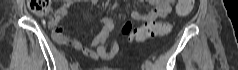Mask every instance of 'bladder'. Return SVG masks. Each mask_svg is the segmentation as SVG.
<instances>
[{
	"label": "bladder",
	"instance_id": "obj_1",
	"mask_svg": "<svg viewBox=\"0 0 238 70\" xmlns=\"http://www.w3.org/2000/svg\"><path fill=\"white\" fill-rule=\"evenodd\" d=\"M97 70H112L111 68H100V69H97Z\"/></svg>",
	"mask_w": 238,
	"mask_h": 70
}]
</instances>
